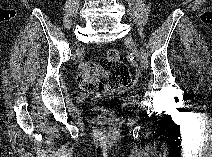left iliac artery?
<instances>
[{
    "instance_id": "44dca946",
    "label": "left iliac artery",
    "mask_w": 212,
    "mask_h": 157,
    "mask_svg": "<svg viewBox=\"0 0 212 157\" xmlns=\"http://www.w3.org/2000/svg\"><path fill=\"white\" fill-rule=\"evenodd\" d=\"M140 54H141V59H142V63L144 67L148 68V57L146 52L143 49H140Z\"/></svg>"
}]
</instances>
